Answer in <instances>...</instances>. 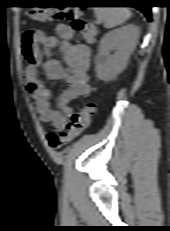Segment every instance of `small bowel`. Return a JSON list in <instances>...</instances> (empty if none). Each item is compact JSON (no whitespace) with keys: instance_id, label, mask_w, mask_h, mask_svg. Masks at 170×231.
I'll return each instance as SVG.
<instances>
[{"instance_id":"small-bowel-1","label":"small bowel","mask_w":170,"mask_h":231,"mask_svg":"<svg viewBox=\"0 0 170 231\" xmlns=\"http://www.w3.org/2000/svg\"><path fill=\"white\" fill-rule=\"evenodd\" d=\"M74 31L65 24L56 27V36H47L38 30H28L22 39L26 89L35 102L36 111L42 122L50 123L56 131H62L73 114L69 103L92 91L88 70L91 50L85 44L73 43ZM58 48L64 66L51 57ZM50 80H60L66 89L58 98L57 109L52 106V94L38 77L39 70Z\"/></svg>"}]
</instances>
